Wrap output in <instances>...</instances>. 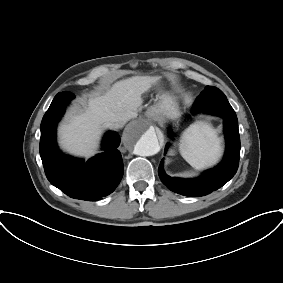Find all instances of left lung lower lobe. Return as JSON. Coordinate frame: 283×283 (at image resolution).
<instances>
[{
    "mask_svg": "<svg viewBox=\"0 0 283 283\" xmlns=\"http://www.w3.org/2000/svg\"><path fill=\"white\" fill-rule=\"evenodd\" d=\"M194 110L219 116L224 119L226 139L225 156L221 163L194 179L173 178L163 170V159L158 175L171 191L178 194L199 197L207 195L226 184L237 172L240 158V137L237 116L228 100H212L203 91L194 103ZM167 149V147H166Z\"/></svg>",
    "mask_w": 283,
    "mask_h": 283,
    "instance_id": "1",
    "label": "left lung lower lobe"
}]
</instances>
